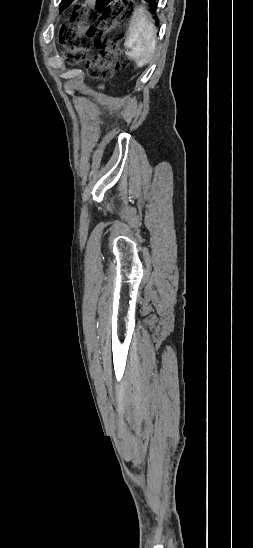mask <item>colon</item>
Returning <instances> with one entry per match:
<instances>
[{
  "mask_svg": "<svg viewBox=\"0 0 253 548\" xmlns=\"http://www.w3.org/2000/svg\"><path fill=\"white\" fill-rule=\"evenodd\" d=\"M134 10L133 0H85L78 4L73 11L72 26L62 34L67 60H83L94 44L99 54L89 61L90 76L96 81L109 80L115 70L129 63L119 45Z\"/></svg>",
  "mask_w": 253,
  "mask_h": 548,
  "instance_id": "1",
  "label": "colon"
}]
</instances>
